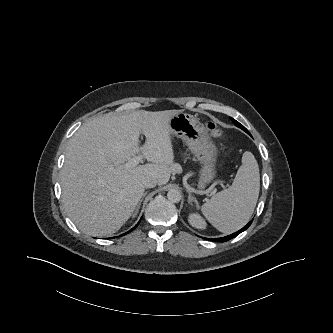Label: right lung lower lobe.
<instances>
[{
  "instance_id": "98d812e1",
  "label": "right lung lower lobe",
  "mask_w": 333,
  "mask_h": 333,
  "mask_svg": "<svg viewBox=\"0 0 333 333\" xmlns=\"http://www.w3.org/2000/svg\"><path fill=\"white\" fill-rule=\"evenodd\" d=\"M139 224V223H138ZM137 224V225H138ZM137 225L134 227V228H132L130 231H128V232H126V233H124L123 235H125V234H127V233H129V232H131L133 229H135L136 227H137Z\"/></svg>"
}]
</instances>
